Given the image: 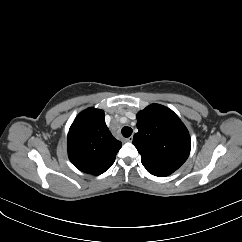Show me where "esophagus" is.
I'll return each instance as SVG.
<instances>
[{"label":"esophagus","mask_w":242,"mask_h":242,"mask_svg":"<svg viewBox=\"0 0 242 242\" xmlns=\"http://www.w3.org/2000/svg\"><path fill=\"white\" fill-rule=\"evenodd\" d=\"M132 140H133V137L132 136H130V137H128V138L125 139V141H127V142H131Z\"/></svg>","instance_id":"obj_1"}]
</instances>
